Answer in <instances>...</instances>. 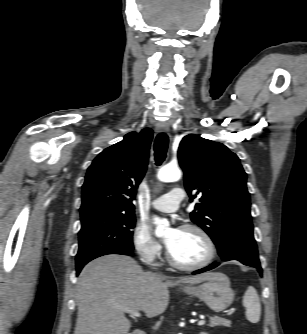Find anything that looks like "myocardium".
<instances>
[{
    "mask_svg": "<svg viewBox=\"0 0 307 334\" xmlns=\"http://www.w3.org/2000/svg\"><path fill=\"white\" fill-rule=\"evenodd\" d=\"M181 230H191V231H195L197 232L202 239L204 240L206 247H207V255L206 257L198 262V263H194V264H184L179 262L170 252V250H168L167 252V258L169 263L180 270H185V271H194V270H198L201 268H204L206 266H208L213 259L215 258L216 255V247L214 244L213 239L211 238V236L208 234V232L203 229L202 227L196 225V224H184L181 227Z\"/></svg>",
    "mask_w": 307,
    "mask_h": 334,
    "instance_id": "f54148a6",
    "label": "myocardium"
}]
</instances>
